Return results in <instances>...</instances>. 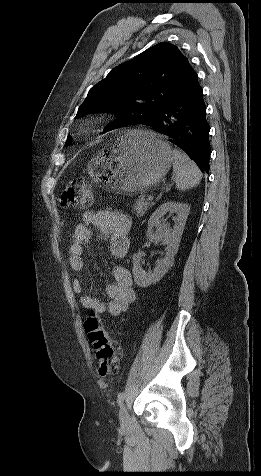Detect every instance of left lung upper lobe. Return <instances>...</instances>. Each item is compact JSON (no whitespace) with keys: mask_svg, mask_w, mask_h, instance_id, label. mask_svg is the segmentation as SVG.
Listing matches in <instances>:
<instances>
[{"mask_svg":"<svg viewBox=\"0 0 261 476\" xmlns=\"http://www.w3.org/2000/svg\"><path fill=\"white\" fill-rule=\"evenodd\" d=\"M194 73L188 59L176 46L158 43L116 66L94 85L76 118L99 112L115 114L117 118L104 132L143 124L160 115L185 89ZM66 144H71L70 137Z\"/></svg>","mask_w":261,"mask_h":476,"instance_id":"5c2ea615","label":"left lung upper lobe"}]
</instances>
